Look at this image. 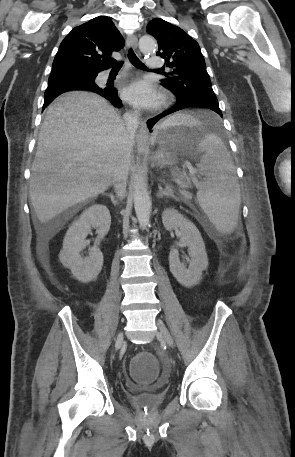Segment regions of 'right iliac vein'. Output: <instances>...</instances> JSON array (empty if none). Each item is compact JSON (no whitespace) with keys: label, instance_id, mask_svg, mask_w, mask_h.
<instances>
[{"label":"right iliac vein","instance_id":"63e3f726","mask_svg":"<svg viewBox=\"0 0 295 457\" xmlns=\"http://www.w3.org/2000/svg\"><path fill=\"white\" fill-rule=\"evenodd\" d=\"M123 343V333L120 332L116 338L115 348L118 349Z\"/></svg>","mask_w":295,"mask_h":457}]
</instances>
